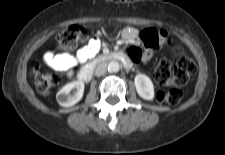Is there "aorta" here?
<instances>
[{"mask_svg": "<svg viewBox=\"0 0 225 155\" xmlns=\"http://www.w3.org/2000/svg\"><path fill=\"white\" fill-rule=\"evenodd\" d=\"M120 69V65L117 61H111L108 63V71L109 72H118Z\"/></svg>", "mask_w": 225, "mask_h": 155, "instance_id": "1", "label": "aorta"}]
</instances>
